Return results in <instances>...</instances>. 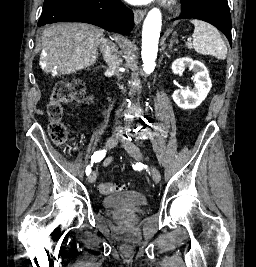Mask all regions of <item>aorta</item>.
<instances>
[{
	"label": "aorta",
	"mask_w": 256,
	"mask_h": 267,
	"mask_svg": "<svg viewBox=\"0 0 256 267\" xmlns=\"http://www.w3.org/2000/svg\"><path fill=\"white\" fill-rule=\"evenodd\" d=\"M162 28V14L159 8H153L147 14V18L144 20L143 28H142V62H143V70H149V72H153L156 66V58L158 54V44L160 38V32ZM144 38L145 44L144 46ZM146 50L145 54L143 52Z\"/></svg>",
	"instance_id": "762f6f07"
}]
</instances>
